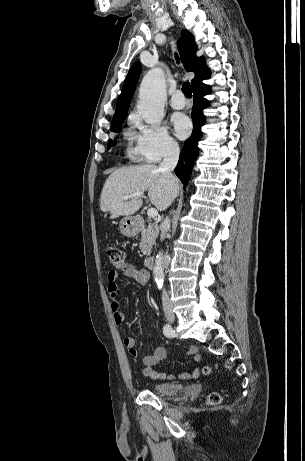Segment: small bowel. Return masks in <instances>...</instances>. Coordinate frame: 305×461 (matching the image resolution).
Here are the masks:
<instances>
[{
	"mask_svg": "<svg viewBox=\"0 0 305 461\" xmlns=\"http://www.w3.org/2000/svg\"><path fill=\"white\" fill-rule=\"evenodd\" d=\"M121 274L124 277L133 278L139 283H146L147 273L143 270H139L138 267L134 264H129L126 270L122 271ZM118 272L110 270L107 274V291L111 301V311L113 318L116 324L121 325L125 321L124 313L121 310V305L118 301ZM124 346L127 348L129 354L132 357H136L138 352L135 348V339L131 336H127L123 339ZM187 355L192 356L194 362L199 363L201 360L200 355L196 346H190L187 350ZM167 356L166 349L162 346H157L154 348L153 352L143 358V369L142 374L146 377L152 379H165L173 378V375L167 374L163 371H156L154 366L157 365L160 361L164 360ZM194 376L199 375L198 368L194 371ZM180 379H189L190 374L187 372L181 373L179 375Z\"/></svg>",
	"mask_w": 305,
	"mask_h": 461,
	"instance_id": "small-bowel-1",
	"label": "small bowel"
}]
</instances>
